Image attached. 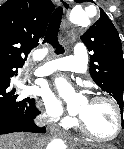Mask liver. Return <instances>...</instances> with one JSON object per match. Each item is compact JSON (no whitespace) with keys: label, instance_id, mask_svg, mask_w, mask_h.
<instances>
[{"label":"liver","instance_id":"6515ba94","mask_svg":"<svg viewBox=\"0 0 124 149\" xmlns=\"http://www.w3.org/2000/svg\"><path fill=\"white\" fill-rule=\"evenodd\" d=\"M30 136L24 133H15L0 136V149H28ZM44 143V139L40 137L38 142L39 149Z\"/></svg>","mask_w":124,"mask_h":149}]
</instances>
